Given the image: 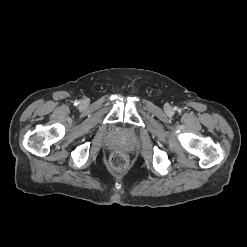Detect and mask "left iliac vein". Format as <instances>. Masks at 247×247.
Segmentation results:
<instances>
[{
    "label": "left iliac vein",
    "mask_w": 247,
    "mask_h": 247,
    "mask_svg": "<svg viewBox=\"0 0 247 247\" xmlns=\"http://www.w3.org/2000/svg\"><path fill=\"white\" fill-rule=\"evenodd\" d=\"M166 110H167V111H171V106L167 105V106H166Z\"/></svg>",
    "instance_id": "4c4485c4"
}]
</instances>
